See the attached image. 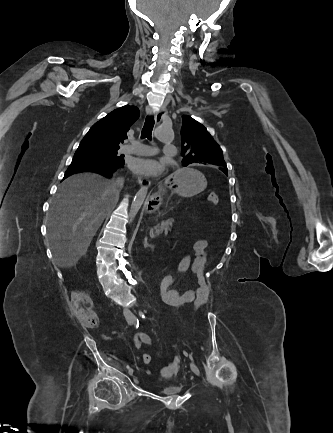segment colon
Here are the masks:
<instances>
[{
    "label": "colon",
    "instance_id": "1",
    "mask_svg": "<svg viewBox=\"0 0 333 433\" xmlns=\"http://www.w3.org/2000/svg\"><path fill=\"white\" fill-rule=\"evenodd\" d=\"M208 200L213 205L218 204V196L216 193H210L208 195ZM160 297L164 300L165 304L172 303V307L183 308V311H186L187 302L186 301H174L170 297H173L171 294L170 287L173 284V276L171 272H164V275H160ZM168 288V289H167ZM71 305L74 311L76 318L80 321V323L85 327H95L97 324V318L95 313L92 310V303L89 295L84 291H74L71 296ZM144 364L149 365L152 363V357L149 354H145L142 358Z\"/></svg>",
    "mask_w": 333,
    "mask_h": 433
}]
</instances>
